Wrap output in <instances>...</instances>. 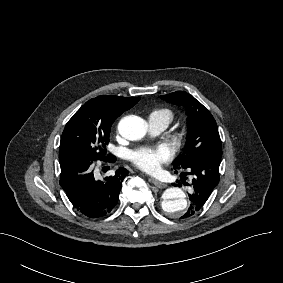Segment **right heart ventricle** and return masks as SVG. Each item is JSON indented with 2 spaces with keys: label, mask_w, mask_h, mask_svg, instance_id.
<instances>
[{
  "label": "right heart ventricle",
  "mask_w": 283,
  "mask_h": 283,
  "mask_svg": "<svg viewBox=\"0 0 283 283\" xmlns=\"http://www.w3.org/2000/svg\"><path fill=\"white\" fill-rule=\"evenodd\" d=\"M150 115H156L160 118L166 119L168 121V124H170L174 118L173 112L167 108L156 109L152 111Z\"/></svg>",
  "instance_id": "right-heart-ventricle-1"
}]
</instances>
